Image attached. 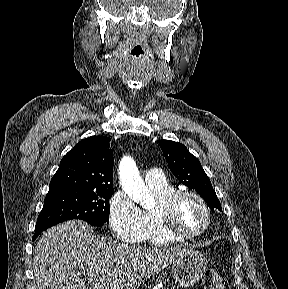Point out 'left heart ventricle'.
<instances>
[{
	"label": "left heart ventricle",
	"mask_w": 288,
	"mask_h": 289,
	"mask_svg": "<svg viewBox=\"0 0 288 289\" xmlns=\"http://www.w3.org/2000/svg\"><path fill=\"white\" fill-rule=\"evenodd\" d=\"M174 219L181 231L193 233L204 225V211L196 199L184 197L175 206Z\"/></svg>",
	"instance_id": "1"
}]
</instances>
